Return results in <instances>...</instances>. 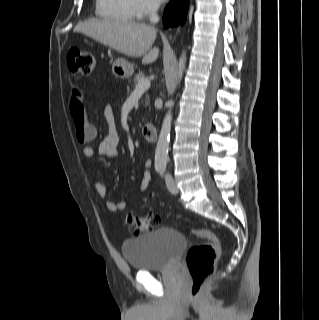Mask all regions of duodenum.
<instances>
[{"label":"duodenum","mask_w":319,"mask_h":320,"mask_svg":"<svg viewBox=\"0 0 319 320\" xmlns=\"http://www.w3.org/2000/svg\"><path fill=\"white\" fill-rule=\"evenodd\" d=\"M142 133L149 142H155L157 140V129L154 124H145Z\"/></svg>","instance_id":"duodenum-1"}]
</instances>
